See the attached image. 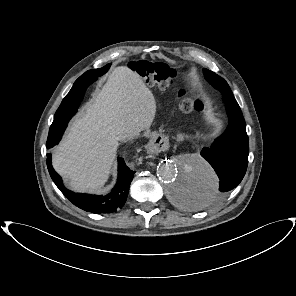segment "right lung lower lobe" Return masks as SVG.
I'll use <instances>...</instances> for the list:
<instances>
[{
	"mask_svg": "<svg viewBox=\"0 0 296 296\" xmlns=\"http://www.w3.org/2000/svg\"><path fill=\"white\" fill-rule=\"evenodd\" d=\"M98 78V75H86L84 73L74 83L73 87L81 94H84L86 88ZM52 123L48 139L47 147L51 148L56 145L62 134V127L54 126ZM47 167L50 176L63 195L75 206L92 213H113L123 207L128 196L130 183L133 179L135 171L130 170L123 158H118V179L117 183L110 193L107 195H90L85 193H75L65 188L61 177L55 172L51 164V154H47Z\"/></svg>",
	"mask_w": 296,
	"mask_h": 296,
	"instance_id": "right-lung-lower-lobe-1",
	"label": "right lung lower lobe"
}]
</instances>
